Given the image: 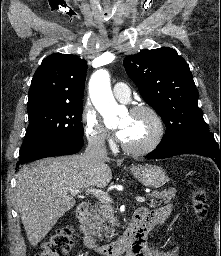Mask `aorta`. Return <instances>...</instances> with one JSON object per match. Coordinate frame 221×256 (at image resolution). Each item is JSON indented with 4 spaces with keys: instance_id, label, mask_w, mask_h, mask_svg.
<instances>
[{
    "instance_id": "1",
    "label": "aorta",
    "mask_w": 221,
    "mask_h": 256,
    "mask_svg": "<svg viewBox=\"0 0 221 256\" xmlns=\"http://www.w3.org/2000/svg\"><path fill=\"white\" fill-rule=\"evenodd\" d=\"M89 93L94 106L104 117L105 123L116 118L120 107L113 97L110 76L106 70L100 69L93 73L89 81Z\"/></svg>"
}]
</instances>
